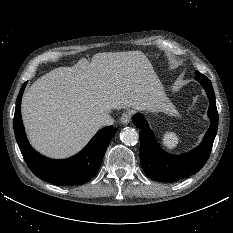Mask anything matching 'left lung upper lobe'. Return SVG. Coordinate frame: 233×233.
I'll list each match as a JSON object with an SVG mask.
<instances>
[{
  "label": "left lung upper lobe",
  "instance_id": "left-lung-upper-lobe-1",
  "mask_svg": "<svg viewBox=\"0 0 233 233\" xmlns=\"http://www.w3.org/2000/svg\"><path fill=\"white\" fill-rule=\"evenodd\" d=\"M195 74H196L195 79H198V78H205V77H206V76H204L203 74H201V73L198 72V71H196Z\"/></svg>",
  "mask_w": 233,
  "mask_h": 233
}]
</instances>
